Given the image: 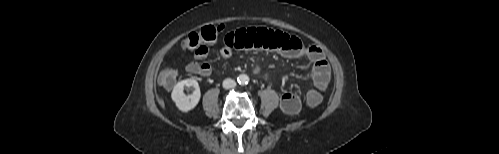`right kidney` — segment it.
Here are the masks:
<instances>
[{
    "mask_svg": "<svg viewBox=\"0 0 499 154\" xmlns=\"http://www.w3.org/2000/svg\"><path fill=\"white\" fill-rule=\"evenodd\" d=\"M184 87L193 89L192 94L185 95ZM201 97L200 87L195 79H185L178 82L171 93V98L175 102L177 108L182 112H188L194 109L199 103Z\"/></svg>",
    "mask_w": 499,
    "mask_h": 154,
    "instance_id": "obj_1",
    "label": "right kidney"
}]
</instances>
